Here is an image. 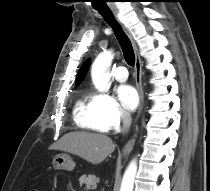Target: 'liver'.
<instances>
[{
	"label": "liver",
	"instance_id": "liver-1",
	"mask_svg": "<svg viewBox=\"0 0 210 191\" xmlns=\"http://www.w3.org/2000/svg\"><path fill=\"white\" fill-rule=\"evenodd\" d=\"M50 149L68 152L92 164H99L115 150V145L103 134L70 132L52 144Z\"/></svg>",
	"mask_w": 210,
	"mask_h": 191
}]
</instances>
